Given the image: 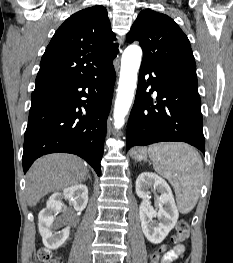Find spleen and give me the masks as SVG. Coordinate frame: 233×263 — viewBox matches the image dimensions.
<instances>
[{
	"mask_svg": "<svg viewBox=\"0 0 233 263\" xmlns=\"http://www.w3.org/2000/svg\"><path fill=\"white\" fill-rule=\"evenodd\" d=\"M154 170L172 185L179 211L189 213L197 204L203 178L198 151L185 143L169 142L149 146Z\"/></svg>",
	"mask_w": 233,
	"mask_h": 263,
	"instance_id": "spleen-1",
	"label": "spleen"
}]
</instances>
